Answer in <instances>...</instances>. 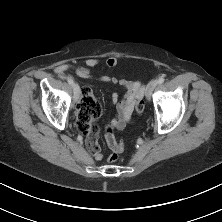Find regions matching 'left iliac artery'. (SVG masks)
<instances>
[{"label":"left iliac artery","instance_id":"obj_1","mask_svg":"<svg viewBox=\"0 0 222 222\" xmlns=\"http://www.w3.org/2000/svg\"><path fill=\"white\" fill-rule=\"evenodd\" d=\"M164 81H165V78L160 77L157 82H158V84H162Z\"/></svg>","mask_w":222,"mask_h":222}]
</instances>
